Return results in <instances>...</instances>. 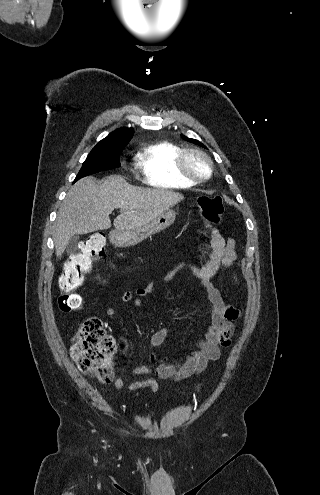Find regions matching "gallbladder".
<instances>
[{"instance_id":"1","label":"gallbladder","mask_w":320,"mask_h":495,"mask_svg":"<svg viewBox=\"0 0 320 495\" xmlns=\"http://www.w3.org/2000/svg\"><path fill=\"white\" fill-rule=\"evenodd\" d=\"M78 241H79L78 235H74L70 238L68 245H67V253L68 254L75 252V250L77 248Z\"/></svg>"}]
</instances>
